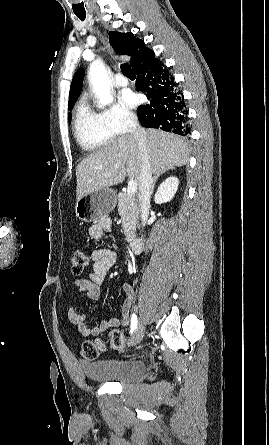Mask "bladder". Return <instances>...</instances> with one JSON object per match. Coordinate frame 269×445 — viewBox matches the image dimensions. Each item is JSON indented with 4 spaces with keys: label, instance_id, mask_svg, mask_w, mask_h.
I'll return each mask as SVG.
<instances>
[{
    "label": "bladder",
    "instance_id": "31cf9c89",
    "mask_svg": "<svg viewBox=\"0 0 269 445\" xmlns=\"http://www.w3.org/2000/svg\"><path fill=\"white\" fill-rule=\"evenodd\" d=\"M80 367L87 379L96 382L128 383L138 380L146 371L140 360L81 361Z\"/></svg>",
    "mask_w": 269,
    "mask_h": 445
}]
</instances>
